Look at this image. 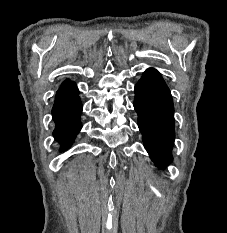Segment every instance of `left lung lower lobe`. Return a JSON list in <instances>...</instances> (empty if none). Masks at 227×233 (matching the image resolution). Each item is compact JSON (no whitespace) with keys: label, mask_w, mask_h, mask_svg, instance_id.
I'll return each mask as SVG.
<instances>
[{"label":"left lung lower lobe","mask_w":227,"mask_h":233,"mask_svg":"<svg viewBox=\"0 0 227 233\" xmlns=\"http://www.w3.org/2000/svg\"><path fill=\"white\" fill-rule=\"evenodd\" d=\"M134 108L143 143L158 167L173 160L174 106L170 90L159 72L147 69L135 86Z\"/></svg>","instance_id":"0a47b994"}]
</instances>
